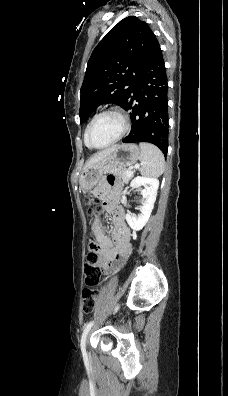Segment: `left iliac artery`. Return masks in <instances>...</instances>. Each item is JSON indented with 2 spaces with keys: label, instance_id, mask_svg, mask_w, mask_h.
<instances>
[{
  "label": "left iliac artery",
  "instance_id": "left-iliac-artery-1",
  "mask_svg": "<svg viewBox=\"0 0 228 396\" xmlns=\"http://www.w3.org/2000/svg\"><path fill=\"white\" fill-rule=\"evenodd\" d=\"M93 324H94V321H90L89 323H87L84 328V331L82 333L80 346L83 351H85V349H86V338H87V335H88L91 327L93 326Z\"/></svg>",
  "mask_w": 228,
  "mask_h": 396
}]
</instances>
